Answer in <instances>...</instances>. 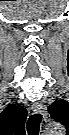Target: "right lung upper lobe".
<instances>
[{
	"label": "right lung upper lobe",
	"mask_w": 69,
	"mask_h": 135,
	"mask_svg": "<svg viewBox=\"0 0 69 135\" xmlns=\"http://www.w3.org/2000/svg\"><path fill=\"white\" fill-rule=\"evenodd\" d=\"M27 114V110L22 106H7V108L0 114L2 132H4L5 129L11 134L23 135L25 133L24 130Z\"/></svg>",
	"instance_id": "obj_1"
}]
</instances>
